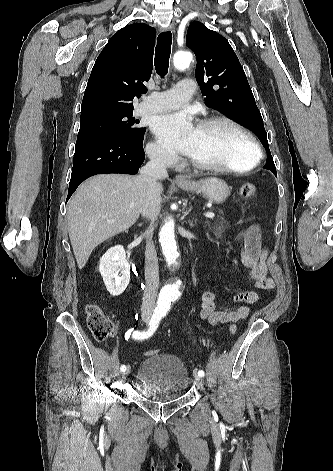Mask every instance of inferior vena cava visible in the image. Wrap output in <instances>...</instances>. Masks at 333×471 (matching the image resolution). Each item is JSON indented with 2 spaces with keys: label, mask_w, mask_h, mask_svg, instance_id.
I'll use <instances>...</instances> for the list:
<instances>
[{
  "label": "inferior vena cava",
  "mask_w": 333,
  "mask_h": 471,
  "mask_svg": "<svg viewBox=\"0 0 333 471\" xmlns=\"http://www.w3.org/2000/svg\"><path fill=\"white\" fill-rule=\"evenodd\" d=\"M168 176L165 157L161 151L151 154L150 161L141 168L140 177L145 187L141 202V214L151 222V227L156 221L160 209L161 199L157 193L158 179ZM145 250V280L146 288L142 299L141 311L152 314L159 287V267L157 253L152 242V234L146 233Z\"/></svg>",
  "instance_id": "602c4592"
}]
</instances>
